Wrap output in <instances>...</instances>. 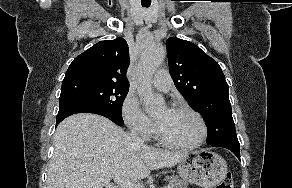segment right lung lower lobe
I'll return each mask as SVG.
<instances>
[{"mask_svg":"<svg viewBox=\"0 0 292 188\" xmlns=\"http://www.w3.org/2000/svg\"><path fill=\"white\" fill-rule=\"evenodd\" d=\"M76 113H94V114L107 117L108 119H110L111 121H113L119 126H122L124 124V121L122 118L114 117L105 112L94 109L88 105H85L82 103H64V104L59 105V112L57 114L56 125H58L66 117L72 114H76Z\"/></svg>","mask_w":292,"mask_h":188,"instance_id":"1","label":"right lung lower lobe"}]
</instances>
